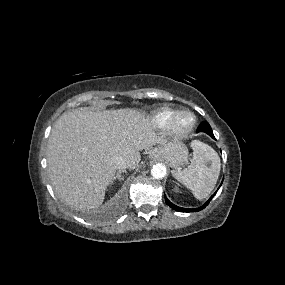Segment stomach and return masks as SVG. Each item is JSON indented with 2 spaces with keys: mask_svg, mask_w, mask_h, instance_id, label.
Returning a JSON list of instances; mask_svg holds the SVG:
<instances>
[{
  "mask_svg": "<svg viewBox=\"0 0 285 285\" xmlns=\"http://www.w3.org/2000/svg\"><path fill=\"white\" fill-rule=\"evenodd\" d=\"M150 157L164 159L171 167L177 168L187 161L188 150L181 142L173 141L152 149Z\"/></svg>",
  "mask_w": 285,
  "mask_h": 285,
  "instance_id": "1",
  "label": "stomach"
}]
</instances>
